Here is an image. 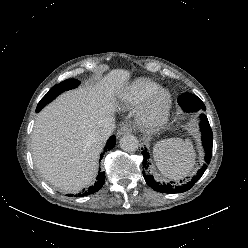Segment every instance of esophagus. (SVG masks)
Returning a JSON list of instances; mask_svg holds the SVG:
<instances>
[{"mask_svg":"<svg viewBox=\"0 0 248 248\" xmlns=\"http://www.w3.org/2000/svg\"><path fill=\"white\" fill-rule=\"evenodd\" d=\"M132 130L133 128L131 124H128V123L123 124L120 128L119 135L121 136V135L129 134L132 132Z\"/></svg>","mask_w":248,"mask_h":248,"instance_id":"esophagus-1","label":"esophagus"}]
</instances>
